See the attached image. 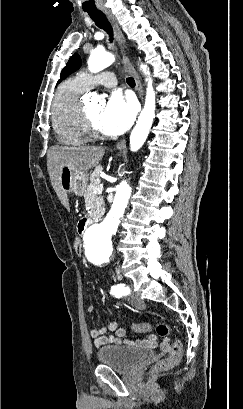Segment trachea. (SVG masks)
<instances>
[{
	"label": "trachea",
	"instance_id": "3493384b",
	"mask_svg": "<svg viewBox=\"0 0 243 409\" xmlns=\"http://www.w3.org/2000/svg\"><path fill=\"white\" fill-rule=\"evenodd\" d=\"M88 15L91 17V19L95 22V24L105 30L109 36H110V41L113 40V30L112 26L110 25L108 19L106 18V15L102 11H95V12H88ZM127 84L131 87L135 86V80L131 77L127 78Z\"/></svg>",
	"mask_w": 243,
	"mask_h": 409
}]
</instances>
